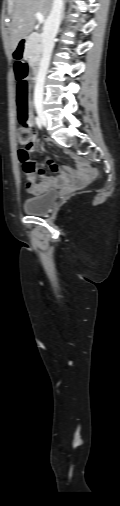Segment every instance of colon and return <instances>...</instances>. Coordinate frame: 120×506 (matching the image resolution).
Wrapping results in <instances>:
<instances>
[{
  "instance_id": "1",
  "label": "colon",
  "mask_w": 120,
  "mask_h": 506,
  "mask_svg": "<svg viewBox=\"0 0 120 506\" xmlns=\"http://www.w3.org/2000/svg\"><path fill=\"white\" fill-rule=\"evenodd\" d=\"M15 49L11 51V58L17 68L13 71V78L17 80L16 85V104H17V118L24 126L18 130L17 138L18 141L24 146L20 151L24 158H30V153L34 146V136L30 131V115H29V83L27 81L28 68L27 56L24 58H17L15 56ZM81 166L85 169H89L94 177L97 176V170L94 167L88 166L85 162L81 163Z\"/></svg>"
}]
</instances>
